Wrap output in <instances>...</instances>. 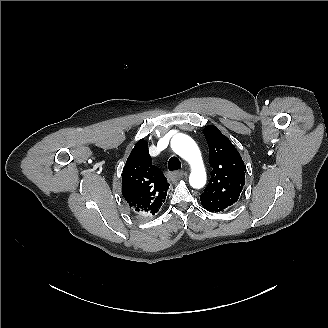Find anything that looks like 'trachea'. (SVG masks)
I'll use <instances>...</instances> for the list:
<instances>
[{
	"label": "trachea",
	"instance_id": "3493384b",
	"mask_svg": "<svg viewBox=\"0 0 328 328\" xmlns=\"http://www.w3.org/2000/svg\"><path fill=\"white\" fill-rule=\"evenodd\" d=\"M181 168V162L177 157H171L168 161V169L170 171L179 170Z\"/></svg>",
	"mask_w": 328,
	"mask_h": 328
}]
</instances>
